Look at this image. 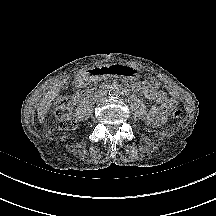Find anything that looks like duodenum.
Wrapping results in <instances>:
<instances>
[{
	"label": "duodenum",
	"mask_w": 216,
	"mask_h": 216,
	"mask_svg": "<svg viewBox=\"0 0 216 216\" xmlns=\"http://www.w3.org/2000/svg\"><path fill=\"white\" fill-rule=\"evenodd\" d=\"M109 88H110L109 86H102L97 90L79 92V93L75 94L74 101L75 102H82L85 100L95 98L98 95L102 94L103 92L107 91Z\"/></svg>",
	"instance_id": "1"
}]
</instances>
